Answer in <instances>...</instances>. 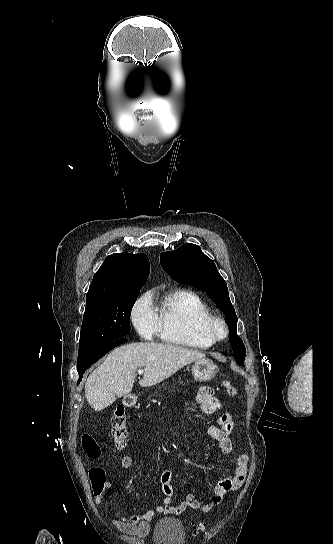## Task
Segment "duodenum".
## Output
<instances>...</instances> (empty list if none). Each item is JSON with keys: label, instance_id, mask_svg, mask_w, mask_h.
<instances>
[{"label": "duodenum", "instance_id": "duodenum-1", "mask_svg": "<svg viewBox=\"0 0 333 544\" xmlns=\"http://www.w3.org/2000/svg\"><path fill=\"white\" fill-rule=\"evenodd\" d=\"M124 403L128 407H132L136 403V397L133 395H127L124 399Z\"/></svg>", "mask_w": 333, "mask_h": 544}]
</instances>
